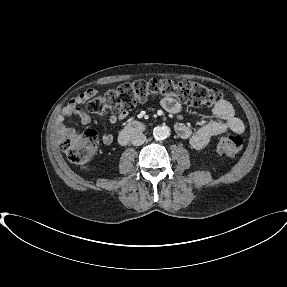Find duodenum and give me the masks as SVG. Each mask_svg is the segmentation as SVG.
I'll return each mask as SVG.
<instances>
[{
  "mask_svg": "<svg viewBox=\"0 0 287 287\" xmlns=\"http://www.w3.org/2000/svg\"><path fill=\"white\" fill-rule=\"evenodd\" d=\"M145 129V126L142 122L134 120L129 122L124 129L121 131L119 135V142L120 144L127 143L131 137L134 135H137L141 132H143Z\"/></svg>",
  "mask_w": 287,
  "mask_h": 287,
  "instance_id": "duodenum-1",
  "label": "duodenum"
}]
</instances>
